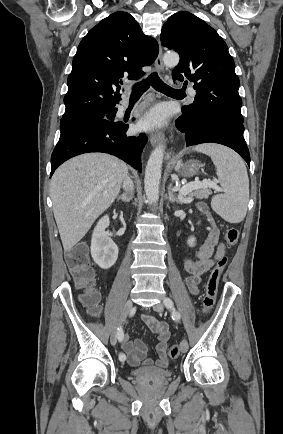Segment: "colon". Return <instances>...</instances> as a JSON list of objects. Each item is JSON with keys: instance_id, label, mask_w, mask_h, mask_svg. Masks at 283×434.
I'll list each match as a JSON object with an SVG mask.
<instances>
[{"instance_id": "5ec220e1", "label": "colon", "mask_w": 283, "mask_h": 434, "mask_svg": "<svg viewBox=\"0 0 283 434\" xmlns=\"http://www.w3.org/2000/svg\"><path fill=\"white\" fill-rule=\"evenodd\" d=\"M239 232L235 228L227 230L224 240L227 246H233L238 242ZM66 263L70 273L79 289H83L81 300L92 315L99 312V295L94 289V273L90 266L89 255L85 245H77L66 253ZM227 263V258L222 257L211 270L205 288L203 299V311L208 313L214 306L220 277ZM180 354V347L173 345L169 349V357L175 359Z\"/></svg>"}]
</instances>
